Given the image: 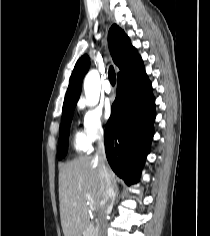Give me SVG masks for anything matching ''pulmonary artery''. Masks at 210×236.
<instances>
[{
    "label": "pulmonary artery",
    "mask_w": 210,
    "mask_h": 236,
    "mask_svg": "<svg viewBox=\"0 0 210 236\" xmlns=\"http://www.w3.org/2000/svg\"><path fill=\"white\" fill-rule=\"evenodd\" d=\"M104 90L108 94H110L112 92V88H111L110 83L108 81H106L104 84Z\"/></svg>",
    "instance_id": "1"
}]
</instances>
